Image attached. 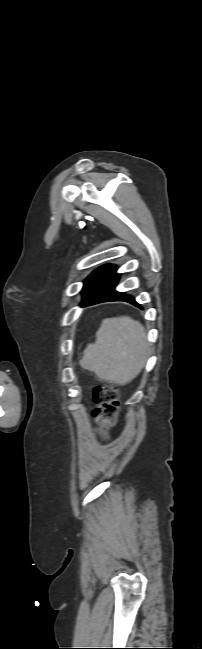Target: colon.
Segmentation results:
<instances>
[{
  "mask_svg": "<svg viewBox=\"0 0 202 649\" xmlns=\"http://www.w3.org/2000/svg\"><path fill=\"white\" fill-rule=\"evenodd\" d=\"M93 399L97 405L93 411L96 430L100 436L106 437L109 428L116 422L118 390L113 385L99 386L93 393Z\"/></svg>",
  "mask_w": 202,
  "mask_h": 649,
  "instance_id": "1",
  "label": "colon"
}]
</instances>
